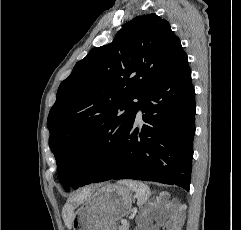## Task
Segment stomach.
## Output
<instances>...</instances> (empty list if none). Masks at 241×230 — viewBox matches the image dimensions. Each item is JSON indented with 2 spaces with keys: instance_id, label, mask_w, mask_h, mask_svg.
Returning <instances> with one entry per match:
<instances>
[{
  "instance_id": "1",
  "label": "stomach",
  "mask_w": 241,
  "mask_h": 230,
  "mask_svg": "<svg viewBox=\"0 0 241 230\" xmlns=\"http://www.w3.org/2000/svg\"><path fill=\"white\" fill-rule=\"evenodd\" d=\"M130 188L122 185L97 186L76 211L73 230H116V222L131 210Z\"/></svg>"
}]
</instances>
